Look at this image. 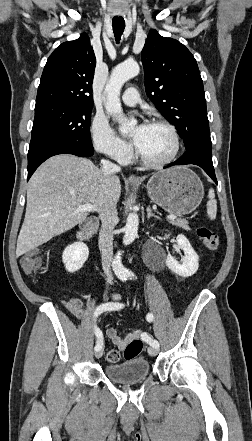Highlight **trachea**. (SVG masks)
Returning a JSON list of instances; mask_svg holds the SVG:
<instances>
[{
  "label": "trachea",
  "mask_w": 252,
  "mask_h": 441,
  "mask_svg": "<svg viewBox=\"0 0 252 441\" xmlns=\"http://www.w3.org/2000/svg\"><path fill=\"white\" fill-rule=\"evenodd\" d=\"M113 32L115 36V40L119 43L121 35L125 29V21L124 20H112Z\"/></svg>",
  "instance_id": "obj_1"
}]
</instances>
